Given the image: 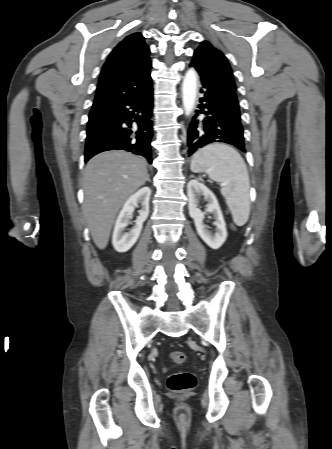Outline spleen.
I'll list each match as a JSON object with an SVG mask.
<instances>
[{
  "label": "spleen",
  "instance_id": "spleen-1",
  "mask_svg": "<svg viewBox=\"0 0 332 449\" xmlns=\"http://www.w3.org/2000/svg\"><path fill=\"white\" fill-rule=\"evenodd\" d=\"M192 172H206L213 181L224 184L225 198L234 223L243 226L250 215V182L246 164L232 147L214 143L198 150L191 161Z\"/></svg>",
  "mask_w": 332,
  "mask_h": 449
}]
</instances>
